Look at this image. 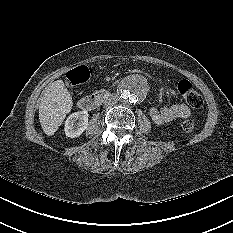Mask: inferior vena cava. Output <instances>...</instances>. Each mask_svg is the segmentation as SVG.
<instances>
[{"mask_svg": "<svg viewBox=\"0 0 233 233\" xmlns=\"http://www.w3.org/2000/svg\"><path fill=\"white\" fill-rule=\"evenodd\" d=\"M117 102H118V96L115 94L110 95L103 101L104 105H107V106H113L117 104Z\"/></svg>", "mask_w": 233, "mask_h": 233, "instance_id": "1", "label": "inferior vena cava"}]
</instances>
